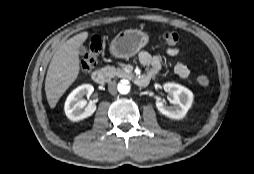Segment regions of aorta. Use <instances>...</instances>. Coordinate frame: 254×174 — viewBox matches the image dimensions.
<instances>
[{
    "mask_svg": "<svg viewBox=\"0 0 254 174\" xmlns=\"http://www.w3.org/2000/svg\"><path fill=\"white\" fill-rule=\"evenodd\" d=\"M118 91L121 94H127L130 91V85L129 82L127 80H122L119 84H118Z\"/></svg>",
    "mask_w": 254,
    "mask_h": 174,
    "instance_id": "obj_1",
    "label": "aorta"
}]
</instances>
